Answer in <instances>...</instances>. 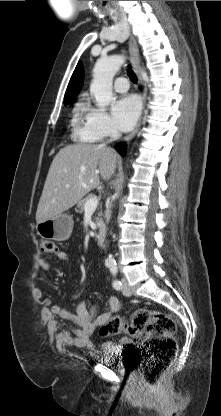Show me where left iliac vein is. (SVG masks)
<instances>
[{"mask_svg": "<svg viewBox=\"0 0 221 416\" xmlns=\"http://www.w3.org/2000/svg\"><path fill=\"white\" fill-rule=\"evenodd\" d=\"M122 293L125 295V296H131L132 295V291H131V289H130V287H129V285H128V282H127V279L126 278H123L122 279Z\"/></svg>", "mask_w": 221, "mask_h": 416, "instance_id": "4c4485c4", "label": "left iliac vein"}]
</instances>
